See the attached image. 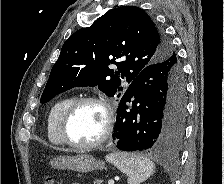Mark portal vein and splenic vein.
I'll list each match as a JSON object with an SVG mask.
<instances>
[{"instance_id": "obj_1", "label": "portal vein and splenic vein", "mask_w": 224, "mask_h": 184, "mask_svg": "<svg viewBox=\"0 0 224 184\" xmlns=\"http://www.w3.org/2000/svg\"><path fill=\"white\" fill-rule=\"evenodd\" d=\"M108 184H114V181L113 180H109Z\"/></svg>"}]
</instances>
